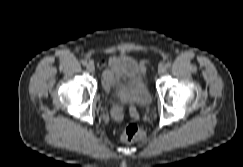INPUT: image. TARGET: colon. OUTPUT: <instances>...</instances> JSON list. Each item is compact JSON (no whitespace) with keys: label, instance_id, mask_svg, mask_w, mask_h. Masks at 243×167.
Instances as JSON below:
<instances>
[{"label":"colon","instance_id":"5ec220e1","mask_svg":"<svg viewBox=\"0 0 243 167\" xmlns=\"http://www.w3.org/2000/svg\"><path fill=\"white\" fill-rule=\"evenodd\" d=\"M147 62H141V67L144 68ZM145 133L144 131L136 124H130L126 127L122 134V140L124 142L132 143L143 139Z\"/></svg>","mask_w":243,"mask_h":167}]
</instances>
